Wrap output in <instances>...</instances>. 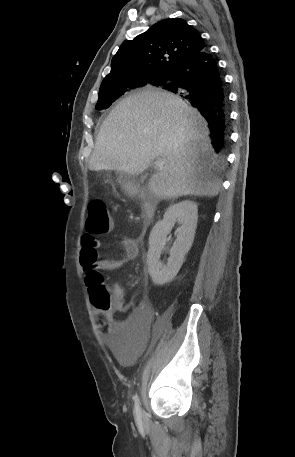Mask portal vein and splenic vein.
I'll use <instances>...</instances> for the list:
<instances>
[{
  "label": "portal vein and splenic vein",
  "instance_id": "portal-vein-and-splenic-vein-1",
  "mask_svg": "<svg viewBox=\"0 0 295 457\" xmlns=\"http://www.w3.org/2000/svg\"><path fill=\"white\" fill-rule=\"evenodd\" d=\"M155 164H156V166H157V167H159V168H163V167H164V165H165V162H164V160H163V159H161V158H158V159L156 160Z\"/></svg>",
  "mask_w": 295,
  "mask_h": 457
}]
</instances>
